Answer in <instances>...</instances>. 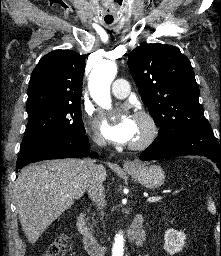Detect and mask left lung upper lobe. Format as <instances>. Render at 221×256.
Returning a JSON list of instances; mask_svg holds the SVG:
<instances>
[{
  "label": "left lung upper lobe",
  "mask_w": 221,
  "mask_h": 256,
  "mask_svg": "<svg viewBox=\"0 0 221 256\" xmlns=\"http://www.w3.org/2000/svg\"><path fill=\"white\" fill-rule=\"evenodd\" d=\"M130 73L159 134L178 126L209 124L199 104V87L190 61L172 45L137 47L128 57Z\"/></svg>",
  "instance_id": "obj_1"
}]
</instances>
